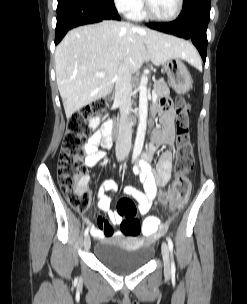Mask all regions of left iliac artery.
<instances>
[{"instance_id": "obj_1", "label": "left iliac artery", "mask_w": 247, "mask_h": 304, "mask_svg": "<svg viewBox=\"0 0 247 304\" xmlns=\"http://www.w3.org/2000/svg\"><path fill=\"white\" fill-rule=\"evenodd\" d=\"M167 241H168L169 250H170L171 255H172V253H173V242H172V239L170 237H168ZM171 270H172V272H175V263H174L173 257H172V261H171Z\"/></svg>"}]
</instances>
